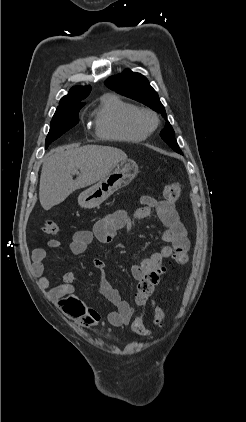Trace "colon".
<instances>
[{"label": "colon", "mask_w": 246, "mask_h": 422, "mask_svg": "<svg viewBox=\"0 0 246 422\" xmlns=\"http://www.w3.org/2000/svg\"><path fill=\"white\" fill-rule=\"evenodd\" d=\"M182 192V186L177 181H169L165 184L163 195L167 200H177ZM42 231L47 235H54L58 231V227L54 222H45L42 226ZM178 265H184L188 261L187 253L178 252L173 257ZM166 273V267H159L146 273L137 285V292L135 296L136 304L141 308L142 313L136 317L132 323V330L140 335H146L148 330L144 325V309L147 305L149 297L152 295L155 287L159 284L162 276ZM153 321L157 326H163L165 321L164 311L157 305L153 306Z\"/></svg>", "instance_id": "5ec220e1"}]
</instances>
